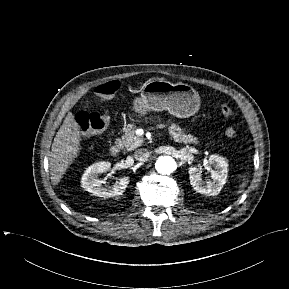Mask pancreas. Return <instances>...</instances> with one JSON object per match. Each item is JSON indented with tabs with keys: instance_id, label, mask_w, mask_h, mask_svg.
<instances>
[{
	"instance_id": "pancreas-1",
	"label": "pancreas",
	"mask_w": 289,
	"mask_h": 289,
	"mask_svg": "<svg viewBox=\"0 0 289 289\" xmlns=\"http://www.w3.org/2000/svg\"><path fill=\"white\" fill-rule=\"evenodd\" d=\"M136 126L134 124H128L124 128V134L121 139V144L128 151L134 150L141 146L143 139L135 134ZM171 138L178 143H197V138L191 134H185L184 131L176 124H171L168 128Z\"/></svg>"
}]
</instances>
